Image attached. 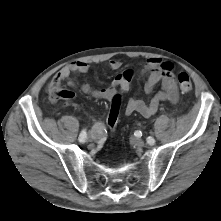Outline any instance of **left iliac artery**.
Masks as SVG:
<instances>
[{
	"label": "left iliac artery",
	"instance_id": "left-iliac-artery-1",
	"mask_svg": "<svg viewBox=\"0 0 221 221\" xmlns=\"http://www.w3.org/2000/svg\"><path fill=\"white\" fill-rule=\"evenodd\" d=\"M152 140H153L152 137H148L147 138V143L150 144V145H153V141Z\"/></svg>",
	"mask_w": 221,
	"mask_h": 221
}]
</instances>
